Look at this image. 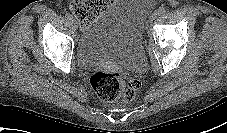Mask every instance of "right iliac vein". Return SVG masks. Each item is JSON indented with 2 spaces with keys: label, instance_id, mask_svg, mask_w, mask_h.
Returning <instances> with one entry per match:
<instances>
[{
  "label": "right iliac vein",
  "instance_id": "63e3f726",
  "mask_svg": "<svg viewBox=\"0 0 227 133\" xmlns=\"http://www.w3.org/2000/svg\"><path fill=\"white\" fill-rule=\"evenodd\" d=\"M72 24H73L74 26H77V21H76L75 19H72Z\"/></svg>",
  "mask_w": 227,
  "mask_h": 133
}]
</instances>
